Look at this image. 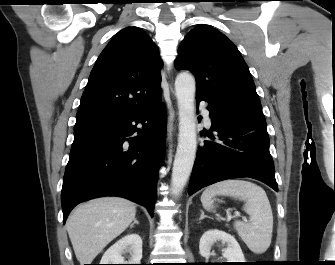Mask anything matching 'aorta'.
<instances>
[{
  "label": "aorta",
  "mask_w": 335,
  "mask_h": 265,
  "mask_svg": "<svg viewBox=\"0 0 335 265\" xmlns=\"http://www.w3.org/2000/svg\"><path fill=\"white\" fill-rule=\"evenodd\" d=\"M175 95L179 110V135L171 182L173 193L179 196L192 172L197 149L195 79L191 74L182 72L177 76Z\"/></svg>",
  "instance_id": "762f6f07"
}]
</instances>
